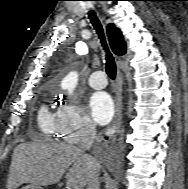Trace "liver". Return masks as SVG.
I'll return each instance as SVG.
<instances>
[{
	"instance_id": "1",
	"label": "liver",
	"mask_w": 188,
	"mask_h": 189,
	"mask_svg": "<svg viewBox=\"0 0 188 189\" xmlns=\"http://www.w3.org/2000/svg\"><path fill=\"white\" fill-rule=\"evenodd\" d=\"M70 166L66 183L73 189H83L100 168L77 146L55 142L19 144L13 152L7 189H17L25 183L42 189L41 186L58 183Z\"/></svg>"
}]
</instances>
